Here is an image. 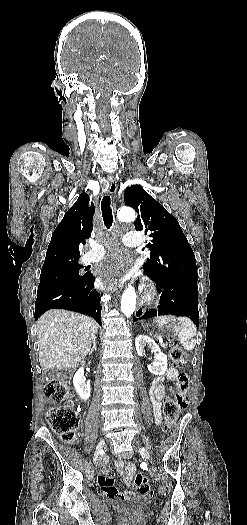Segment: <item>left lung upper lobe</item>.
I'll list each match as a JSON object with an SVG mask.
<instances>
[{
    "instance_id": "left-lung-upper-lobe-1",
    "label": "left lung upper lobe",
    "mask_w": 247,
    "mask_h": 525,
    "mask_svg": "<svg viewBox=\"0 0 247 525\" xmlns=\"http://www.w3.org/2000/svg\"><path fill=\"white\" fill-rule=\"evenodd\" d=\"M124 201L138 212L135 229L152 238L146 274L154 280L197 283L195 256L176 218L139 185L126 189Z\"/></svg>"
}]
</instances>
